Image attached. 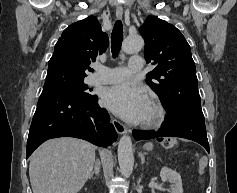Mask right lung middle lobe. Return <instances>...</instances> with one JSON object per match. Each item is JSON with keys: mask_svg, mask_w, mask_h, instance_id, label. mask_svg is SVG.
Returning a JSON list of instances; mask_svg holds the SVG:
<instances>
[{"mask_svg": "<svg viewBox=\"0 0 237 193\" xmlns=\"http://www.w3.org/2000/svg\"><path fill=\"white\" fill-rule=\"evenodd\" d=\"M83 80V77H75L60 71H48L43 90H57L75 99H88L92 97L91 90Z\"/></svg>", "mask_w": 237, "mask_h": 193, "instance_id": "1", "label": "right lung middle lobe"}]
</instances>
